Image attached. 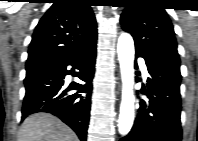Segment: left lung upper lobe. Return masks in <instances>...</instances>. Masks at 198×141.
Wrapping results in <instances>:
<instances>
[{"label": "left lung upper lobe", "instance_id": "5c2ea615", "mask_svg": "<svg viewBox=\"0 0 198 141\" xmlns=\"http://www.w3.org/2000/svg\"><path fill=\"white\" fill-rule=\"evenodd\" d=\"M135 41L136 53L152 62H168L180 68L175 32L157 0H131L120 19Z\"/></svg>", "mask_w": 198, "mask_h": 141}]
</instances>
